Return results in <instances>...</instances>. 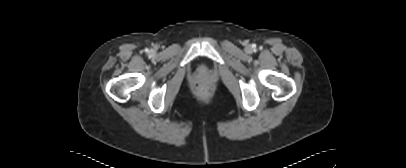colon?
<instances>
[{"label": "colon", "instance_id": "1", "mask_svg": "<svg viewBox=\"0 0 406 168\" xmlns=\"http://www.w3.org/2000/svg\"><path fill=\"white\" fill-rule=\"evenodd\" d=\"M198 91L200 92L201 95L207 96L209 94V88L203 85H199L197 87Z\"/></svg>", "mask_w": 406, "mask_h": 168}]
</instances>
